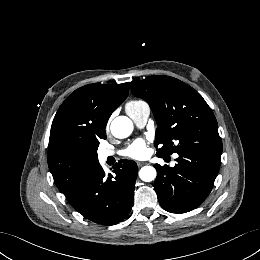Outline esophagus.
Here are the masks:
<instances>
[{
	"label": "esophagus",
	"instance_id": "esophagus-1",
	"mask_svg": "<svg viewBox=\"0 0 260 260\" xmlns=\"http://www.w3.org/2000/svg\"><path fill=\"white\" fill-rule=\"evenodd\" d=\"M145 164H146V162H140V161L137 162L138 167H141V166H143Z\"/></svg>",
	"mask_w": 260,
	"mask_h": 260
}]
</instances>
